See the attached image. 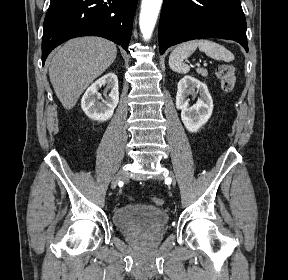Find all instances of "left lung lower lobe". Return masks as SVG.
I'll use <instances>...</instances> for the list:
<instances>
[{"instance_id":"left-lung-lower-lobe-1","label":"left lung lower lobe","mask_w":288,"mask_h":280,"mask_svg":"<svg viewBox=\"0 0 288 280\" xmlns=\"http://www.w3.org/2000/svg\"><path fill=\"white\" fill-rule=\"evenodd\" d=\"M208 37L235 40L248 52L245 15L239 0H164L160 54L178 43Z\"/></svg>"}]
</instances>
